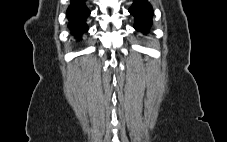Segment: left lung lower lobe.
Instances as JSON below:
<instances>
[{"label": "left lung lower lobe", "mask_w": 227, "mask_h": 142, "mask_svg": "<svg viewBox=\"0 0 227 142\" xmlns=\"http://www.w3.org/2000/svg\"><path fill=\"white\" fill-rule=\"evenodd\" d=\"M129 12L135 18L134 28L147 33L152 25L153 9L151 4L147 0H134Z\"/></svg>", "instance_id": "1"}]
</instances>
